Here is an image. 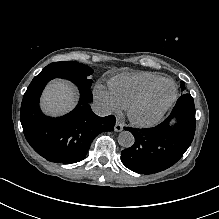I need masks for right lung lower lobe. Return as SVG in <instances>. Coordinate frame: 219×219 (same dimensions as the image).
Masks as SVG:
<instances>
[{"instance_id": "right-lung-lower-lobe-1", "label": "right lung lower lobe", "mask_w": 219, "mask_h": 219, "mask_svg": "<svg viewBox=\"0 0 219 219\" xmlns=\"http://www.w3.org/2000/svg\"><path fill=\"white\" fill-rule=\"evenodd\" d=\"M54 78H65L80 89V100L70 113L52 118L44 115L39 98L45 85ZM93 100L89 87L79 80L54 74H39L24 94L20 120L24 135L31 147L48 161L71 164L83 160L93 139L104 131L114 130L113 115L99 117L91 110Z\"/></svg>"}]
</instances>
